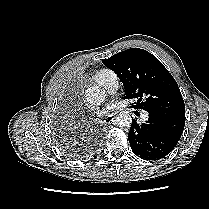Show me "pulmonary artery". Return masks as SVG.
<instances>
[{"instance_id":"1","label":"pulmonary artery","mask_w":209,"mask_h":209,"mask_svg":"<svg viewBox=\"0 0 209 209\" xmlns=\"http://www.w3.org/2000/svg\"><path fill=\"white\" fill-rule=\"evenodd\" d=\"M95 81L109 93H114L119 86L117 75L110 70H105L103 73L96 75ZM143 118H147L146 112L143 113Z\"/></svg>"}]
</instances>
